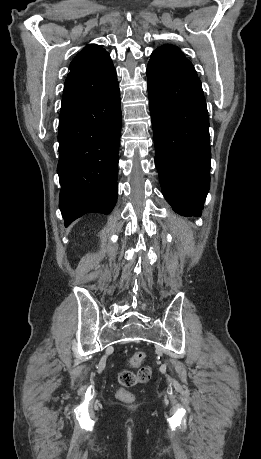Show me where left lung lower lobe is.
I'll return each mask as SVG.
<instances>
[{"instance_id":"1","label":"left lung lower lobe","mask_w":261,"mask_h":459,"mask_svg":"<svg viewBox=\"0 0 261 459\" xmlns=\"http://www.w3.org/2000/svg\"><path fill=\"white\" fill-rule=\"evenodd\" d=\"M147 86L162 193L182 216H200L210 187L209 121L200 79L148 64Z\"/></svg>"}]
</instances>
